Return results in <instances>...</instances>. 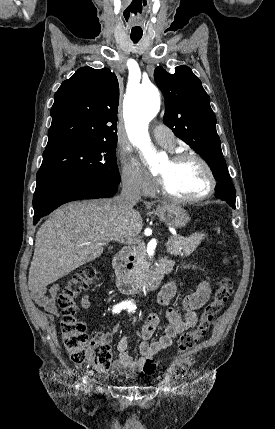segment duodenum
<instances>
[{"label": "duodenum", "instance_id": "410a0bca", "mask_svg": "<svg viewBox=\"0 0 275 429\" xmlns=\"http://www.w3.org/2000/svg\"><path fill=\"white\" fill-rule=\"evenodd\" d=\"M130 252L120 250L113 260L116 274V285L120 292L131 294L137 291H151L159 287L164 276L171 271V263L167 260L159 261L144 277H135L129 272Z\"/></svg>", "mask_w": 275, "mask_h": 429}]
</instances>
